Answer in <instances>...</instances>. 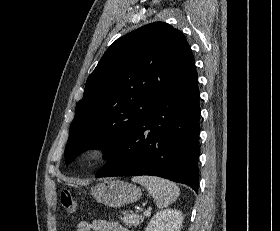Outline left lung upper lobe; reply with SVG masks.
I'll use <instances>...</instances> for the list:
<instances>
[{
  "instance_id": "1",
  "label": "left lung upper lobe",
  "mask_w": 280,
  "mask_h": 231,
  "mask_svg": "<svg viewBox=\"0 0 280 231\" xmlns=\"http://www.w3.org/2000/svg\"><path fill=\"white\" fill-rule=\"evenodd\" d=\"M195 71L185 37L167 23H151L116 40L86 81L69 131L66 164L88 149L111 157L158 99Z\"/></svg>"
}]
</instances>
